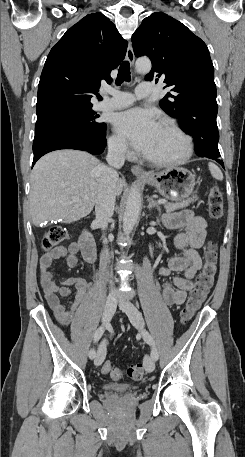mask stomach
Listing matches in <instances>:
<instances>
[{
    "mask_svg": "<svg viewBox=\"0 0 245 457\" xmlns=\"http://www.w3.org/2000/svg\"><path fill=\"white\" fill-rule=\"evenodd\" d=\"M151 174V180L143 178L144 182L155 186L160 194L170 200H185L194 190L195 174H192L188 168L167 166L160 172L151 170Z\"/></svg>",
    "mask_w": 245,
    "mask_h": 457,
    "instance_id": "1",
    "label": "stomach"
}]
</instances>
